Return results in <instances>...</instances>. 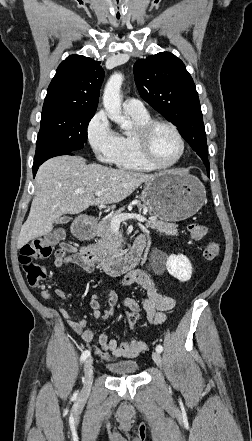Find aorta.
<instances>
[{
    "instance_id": "1",
    "label": "aorta",
    "mask_w": 252,
    "mask_h": 441,
    "mask_svg": "<svg viewBox=\"0 0 252 441\" xmlns=\"http://www.w3.org/2000/svg\"><path fill=\"white\" fill-rule=\"evenodd\" d=\"M122 82L121 73H115L109 78L103 93V106L112 121L119 124L122 129L128 130L132 122L122 115L120 95Z\"/></svg>"
}]
</instances>
